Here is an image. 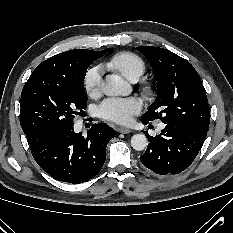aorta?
<instances>
[{"label": "aorta", "instance_id": "aorta-1", "mask_svg": "<svg viewBox=\"0 0 233 233\" xmlns=\"http://www.w3.org/2000/svg\"><path fill=\"white\" fill-rule=\"evenodd\" d=\"M102 91L107 96L127 95L131 92L129 84L120 76L109 75L102 83ZM148 145L144 134H135L131 137V146L137 151L144 150Z\"/></svg>", "mask_w": 233, "mask_h": 233}]
</instances>
